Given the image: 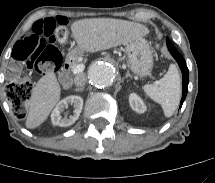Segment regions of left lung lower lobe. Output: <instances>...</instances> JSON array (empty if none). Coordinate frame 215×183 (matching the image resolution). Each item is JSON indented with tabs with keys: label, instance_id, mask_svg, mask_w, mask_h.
Returning <instances> with one entry per match:
<instances>
[{
	"label": "left lung lower lobe",
	"instance_id": "1",
	"mask_svg": "<svg viewBox=\"0 0 215 183\" xmlns=\"http://www.w3.org/2000/svg\"><path fill=\"white\" fill-rule=\"evenodd\" d=\"M167 47L172 54V56L175 58V60L178 62V65L182 72V86H183V94L182 99L180 102V108L186 98L187 91H188V83H189V75H188V68L186 65L185 60L183 59L182 55L177 51V49L173 46V44L170 42V40L166 39Z\"/></svg>",
	"mask_w": 215,
	"mask_h": 183
}]
</instances>
